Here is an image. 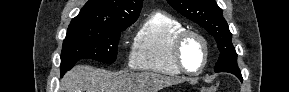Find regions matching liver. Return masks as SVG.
<instances>
[{
    "label": "liver",
    "mask_w": 289,
    "mask_h": 92,
    "mask_svg": "<svg viewBox=\"0 0 289 92\" xmlns=\"http://www.w3.org/2000/svg\"><path fill=\"white\" fill-rule=\"evenodd\" d=\"M180 79L157 73L117 75L86 65L75 66L61 80L62 92H158L180 83Z\"/></svg>",
    "instance_id": "1"
}]
</instances>
